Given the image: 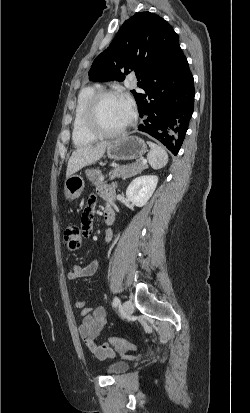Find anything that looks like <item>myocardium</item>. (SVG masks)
<instances>
[{"label": "myocardium", "instance_id": "obj_1", "mask_svg": "<svg viewBox=\"0 0 250 413\" xmlns=\"http://www.w3.org/2000/svg\"><path fill=\"white\" fill-rule=\"evenodd\" d=\"M120 97L119 92L115 90H99L88 101L85 110V126L87 130L96 138H114L124 134L132 125L133 118L123 128L115 131L105 130L99 121V107L101 102L106 98Z\"/></svg>", "mask_w": 250, "mask_h": 413}]
</instances>
